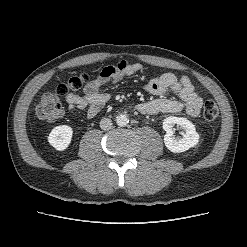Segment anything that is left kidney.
<instances>
[{"mask_svg": "<svg viewBox=\"0 0 247 247\" xmlns=\"http://www.w3.org/2000/svg\"><path fill=\"white\" fill-rule=\"evenodd\" d=\"M179 125L185 132L182 138H176L174 135V126ZM163 129L166 131L164 135L165 146L173 153H181L194 147L199 142V134L196 132L195 126L188 119L183 117L170 116L164 119Z\"/></svg>", "mask_w": 247, "mask_h": 247, "instance_id": "left-kidney-1", "label": "left kidney"}]
</instances>
